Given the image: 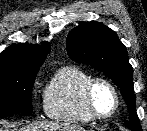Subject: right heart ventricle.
<instances>
[{"mask_svg": "<svg viewBox=\"0 0 147 131\" xmlns=\"http://www.w3.org/2000/svg\"><path fill=\"white\" fill-rule=\"evenodd\" d=\"M92 75L78 66L59 68L49 80L44 92V109L56 121L88 124L94 119L87 113L83 92Z\"/></svg>", "mask_w": 147, "mask_h": 131, "instance_id": "1", "label": "right heart ventricle"}]
</instances>
